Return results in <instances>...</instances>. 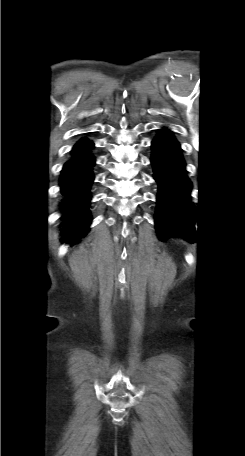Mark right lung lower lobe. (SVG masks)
I'll return each mask as SVG.
<instances>
[{
    "instance_id": "1",
    "label": "right lung lower lobe",
    "mask_w": 245,
    "mask_h": 456,
    "mask_svg": "<svg viewBox=\"0 0 245 456\" xmlns=\"http://www.w3.org/2000/svg\"><path fill=\"white\" fill-rule=\"evenodd\" d=\"M93 142L81 140L71 151V158L65 163L61 172L60 186L64 199L62 241L75 243L83 237L91 223L89 211L90 186L94 176L92 167L95 158L91 154Z\"/></svg>"
}]
</instances>
